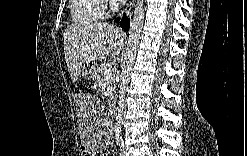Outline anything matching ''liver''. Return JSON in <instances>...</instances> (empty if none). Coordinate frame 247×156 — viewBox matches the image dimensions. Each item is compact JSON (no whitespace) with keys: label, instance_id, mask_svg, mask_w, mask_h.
Instances as JSON below:
<instances>
[{"label":"liver","instance_id":"liver-1","mask_svg":"<svg viewBox=\"0 0 247 156\" xmlns=\"http://www.w3.org/2000/svg\"><path fill=\"white\" fill-rule=\"evenodd\" d=\"M124 46V33L108 23L72 24L64 33V53L73 82L78 80L84 63L119 55Z\"/></svg>","mask_w":247,"mask_h":156}]
</instances>
